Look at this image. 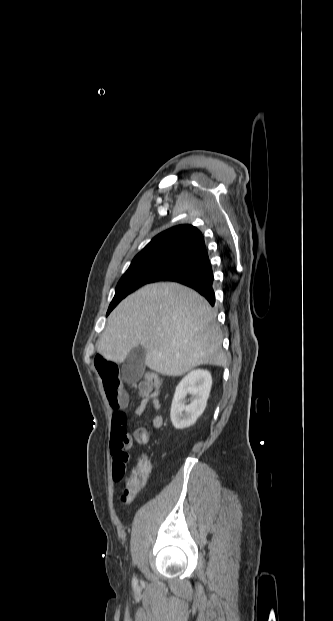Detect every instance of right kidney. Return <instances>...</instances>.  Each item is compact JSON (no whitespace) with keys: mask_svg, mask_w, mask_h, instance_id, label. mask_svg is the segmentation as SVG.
Returning <instances> with one entry per match:
<instances>
[{"mask_svg":"<svg viewBox=\"0 0 333 621\" xmlns=\"http://www.w3.org/2000/svg\"><path fill=\"white\" fill-rule=\"evenodd\" d=\"M212 377L207 370H193L188 373L176 387L172 400L170 418L177 429H183L194 424L203 413L210 394ZM191 395L190 404L185 398Z\"/></svg>","mask_w":333,"mask_h":621,"instance_id":"right-kidney-1","label":"right kidney"}]
</instances>
